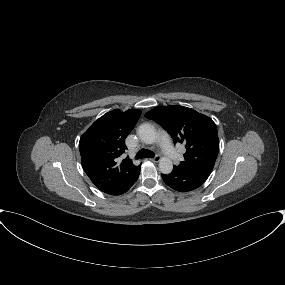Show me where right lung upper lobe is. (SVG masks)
I'll use <instances>...</instances> for the list:
<instances>
[{
	"label": "right lung upper lobe",
	"instance_id": "cb5924a9",
	"mask_svg": "<svg viewBox=\"0 0 285 285\" xmlns=\"http://www.w3.org/2000/svg\"><path fill=\"white\" fill-rule=\"evenodd\" d=\"M141 115L140 110L110 111L96 120L81 136L79 150L82 167L102 192L117 190L140 173L128 157L119 162L127 148L125 138Z\"/></svg>",
	"mask_w": 285,
	"mask_h": 285
}]
</instances>
